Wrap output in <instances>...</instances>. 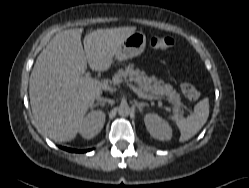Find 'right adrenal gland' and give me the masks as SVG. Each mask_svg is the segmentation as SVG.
I'll use <instances>...</instances> for the list:
<instances>
[{
	"mask_svg": "<svg viewBox=\"0 0 249 188\" xmlns=\"http://www.w3.org/2000/svg\"><path fill=\"white\" fill-rule=\"evenodd\" d=\"M105 101H103V102H99V103H96V104H93L92 106H91V108L93 109L94 107H97V106H105Z\"/></svg>",
	"mask_w": 249,
	"mask_h": 188,
	"instance_id": "2a0ac1e0",
	"label": "right adrenal gland"
}]
</instances>
